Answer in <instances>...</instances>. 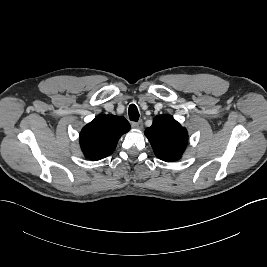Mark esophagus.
<instances>
[{
	"mask_svg": "<svg viewBox=\"0 0 267 267\" xmlns=\"http://www.w3.org/2000/svg\"><path fill=\"white\" fill-rule=\"evenodd\" d=\"M131 126H132L134 129L141 130V129L143 128V123H142V121H139V122H132V123H131Z\"/></svg>",
	"mask_w": 267,
	"mask_h": 267,
	"instance_id": "1",
	"label": "esophagus"
}]
</instances>
